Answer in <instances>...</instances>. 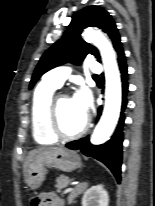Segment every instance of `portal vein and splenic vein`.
<instances>
[{
    "label": "portal vein and splenic vein",
    "instance_id": "18ae733b",
    "mask_svg": "<svg viewBox=\"0 0 155 206\" xmlns=\"http://www.w3.org/2000/svg\"><path fill=\"white\" fill-rule=\"evenodd\" d=\"M72 190H73V188L66 189V190L63 191V194H66V193H68V192H71Z\"/></svg>",
    "mask_w": 155,
    "mask_h": 206
}]
</instances>
